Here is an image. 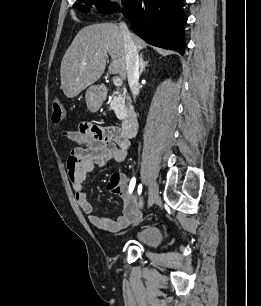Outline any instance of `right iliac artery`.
Wrapping results in <instances>:
<instances>
[{
    "label": "right iliac artery",
    "instance_id": "obj_1",
    "mask_svg": "<svg viewBox=\"0 0 261 306\" xmlns=\"http://www.w3.org/2000/svg\"><path fill=\"white\" fill-rule=\"evenodd\" d=\"M134 186H135V179L133 178V179L131 180L130 186H129L131 192H132V190L134 189ZM141 192H142V184H139V185H138V195H140Z\"/></svg>",
    "mask_w": 261,
    "mask_h": 306
}]
</instances>
